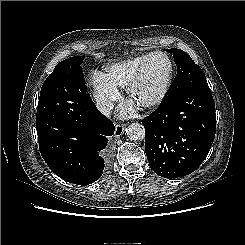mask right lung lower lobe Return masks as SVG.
<instances>
[{"label": "right lung lower lobe", "instance_id": "98d812e1", "mask_svg": "<svg viewBox=\"0 0 245 245\" xmlns=\"http://www.w3.org/2000/svg\"><path fill=\"white\" fill-rule=\"evenodd\" d=\"M85 118L36 119L39 150L49 168L63 180L88 185L98 180L104 159L98 151L114 134V124L95 106Z\"/></svg>", "mask_w": 245, "mask_h": 245}]
</instances>
